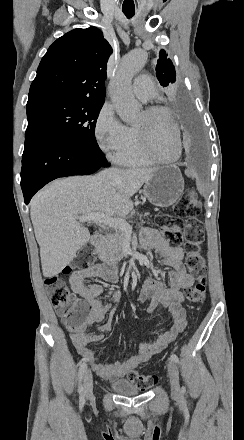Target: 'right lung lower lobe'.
<instances>
[{"instance_id":"obj_1","label":"right lung lower lobe","mask_w":244,"mask_h":440,"mask_svg":"<svg viewBox=\"0 0 244 440\" xmlns=\"http://www.w3.org/2000/svg\"><path fill=\"white\" fill-rule=\"evenodd\" d=\"M109 164L99 147H90L49 131H26L21 188L24 201L48 182L71 175H89Z\"/></svg>"}]
</instances>
